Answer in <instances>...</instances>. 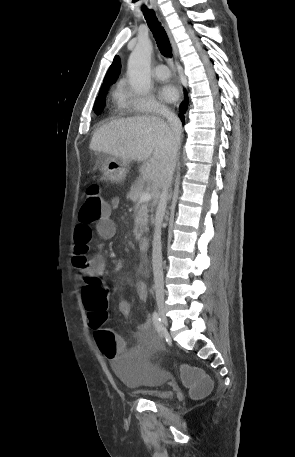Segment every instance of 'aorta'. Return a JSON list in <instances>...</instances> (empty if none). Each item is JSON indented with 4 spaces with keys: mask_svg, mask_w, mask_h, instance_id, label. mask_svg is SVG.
Wrapping results in <instances>:
<instances>
[{
    "mask_svg": "<svg viewBox=\"0 0 295 457\" xmlns=\"http://www.w3.org/2000/svg\"><path fill=\"white\" fill-rule=\"evenodd\" d=\"M153 46L150 40L139 41L128 59L129 82L137 94L144 95L150 90V62Z\"/></svg>",
    "mask_w": 295,
    "mask_h": 457,
    "instance_id": "obj_1",
    "label": "aorta"
}]
</instances>
